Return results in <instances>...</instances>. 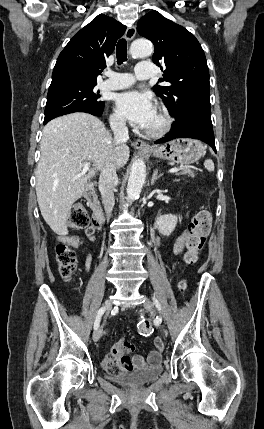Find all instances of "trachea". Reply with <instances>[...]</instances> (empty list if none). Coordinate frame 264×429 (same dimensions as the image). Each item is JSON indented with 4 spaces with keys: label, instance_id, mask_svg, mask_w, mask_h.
Here are the masks:
<instances>
[{
    "label": "trachea",
    "instance_id": "3493384b",
    "mask_svg": "<svg viewBox=\"0 0 264 429\" xmlns=\"http://www.w3.org/2000/svg\"><path fill=\"white\" fill-rule=\"evenodd\" d=\"M117 63L121 65L127 60V42L125 39H120L116 46Z\"/></svg>",
    "mask_w": 264,
    "mask_h": 429
}]
</instances>
